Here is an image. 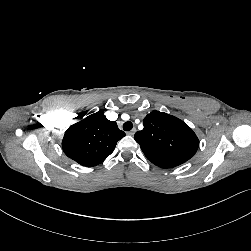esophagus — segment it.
<instances>
[{"label": "esophagus", "mask_w": 251, "mask_h": 251, "mask_svg": "<svg viewBox=\"0 0 251 251\" xmlns=\"http://www.w3.org/2000/svg\"><path fill=\"white\" fill-rule=\"evenodd\" d=\"M136 132V128H133L132 130H130L127 134L130 136H133Z\"/></svg>", "instance_id": "34e87169"}]
</instances>
